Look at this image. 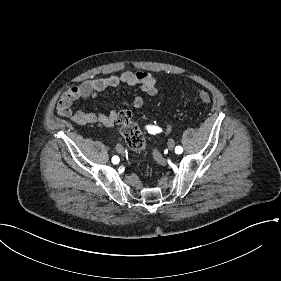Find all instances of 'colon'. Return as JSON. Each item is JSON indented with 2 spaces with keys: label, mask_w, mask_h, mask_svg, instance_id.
<instances>
[{
  "label": "colon",
  "mask_w": 281,
  "mask_h": 281,
  "mask_svg": "<svg viewBox=\"0 0 281 281\" xmlns=\"http://www.w3.org/2000/svg\"><path fill=\"white\" fill-rule=\"evenodd\" d=\"M197 97L198 100L204 104H208L212 101L211 95L206 92H199ZM115 121L128 145L136 151H141L145 145V136L138 124L131 119L130 112L122 111L118 113L115 117Z\"/></svg>",
  "instance_id": "5ec220e1"
}]
</instances>
